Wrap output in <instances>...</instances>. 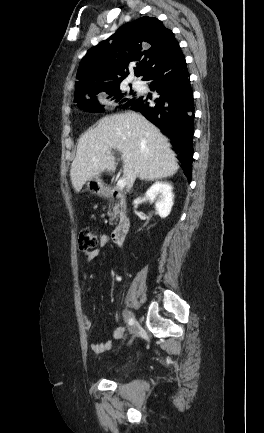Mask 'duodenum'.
<instances>
[{
    "label": "duodenum",
    "instance_id": "obj_1",
    "mask_svg": "<svg viewBox=\"0 0 264 433\" xmlns=\"http://www.w3.org/2000/svg\"><path fill=\"white\" fill-rule=\"evenodd\" d=\"M111 197L117 196V193H111ZM119 196V195H118ZM131 221L130 218L124 217L116 226L111 234V238L114 243L121 244L126 237L129 229H130Z\"/></svg>",
    "mask_w": 264,
    "mask_h": 433
}]
</instances>
